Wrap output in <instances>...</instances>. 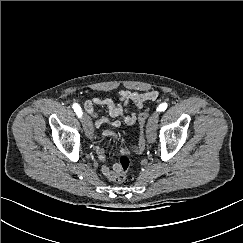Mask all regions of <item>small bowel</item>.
I'll use <instances>...</instances> for the list:
<instances>
[{"label": "small bowel", "instance_id": "small-bowel-1", "mask_svg": "<svg viewBox=\"0 0 243 243\" xmlns=\"http://www.w3.org/2000/svg\"><path fill=\"white\" fill-rule=\"evenodd\" d=\"M158 96L159 93L155 90H148L145 92L121 90L118 92V102L111 98L94 97L92 99L85 100L82 105L85 111L94 119V125L97 129H101L105 123L109 124L113 128H117L121 126V121L119 118H121L126 125H133L136 123V114L130 112L128 109V106L131 102H133L138 108H143L145 103L155 101ZM95 106L106 107L111 119L99 116L96 112ZM109 136L116 137L117 135L111 130H104L101 132L99 139L95 143V151L97 157L103 164L107 162V158L101 144L104 139ZM136 145L132 146L130 150H121L120 153L127 154L136 152ZM101 171L108 180H114V167L110 168L107 165H103Z\"/></svg>", "mask_w": 243, "mask_h": 243}]
</instances>
